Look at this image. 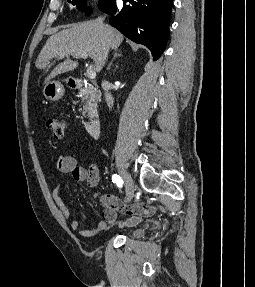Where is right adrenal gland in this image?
<instances>
[{
  "label": "right adrenal gland",
  "mask_w": 255,
  "mask_h": 287,
  "mask_svg": "<svg viewBox=\"0 0 255 287\" xmlns=\"http://www.w3.org/2000/svg\"><path fill=\"white\" fill-rule=\"evenodd\" d=\"M118 56H122V54H117V52L115 50L113 60H115V58H118ZM113 60H112L111 64H113Z\"/></svg>",
  "instance_id": "obj_1"
}]
</instances>
